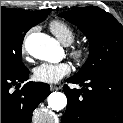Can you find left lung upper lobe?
Segmentation results:
<instances>
[{"mask_svg": "<svg viewBox=\"0 0 123 123\" xmlns=\"http://www.w3.org/2000/svg\"><path fill=\"white\" fill-rule=\"evenodd\" d=\"M87 36L90 54L76 77H89L109 68H123V27L106 11L95 7L75 8L61 13Z\"/></svg>", "mask_w": 123, "mask_h": 123, "instance_id": "obj_1", "label": "left lung upper lobe"}]
</instances>
